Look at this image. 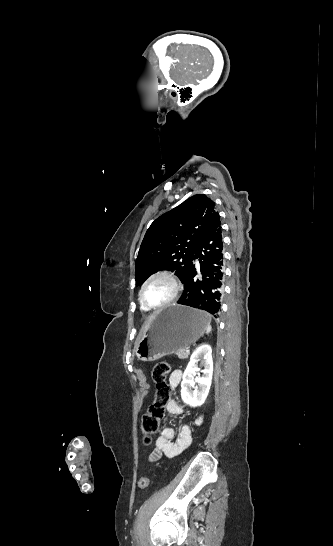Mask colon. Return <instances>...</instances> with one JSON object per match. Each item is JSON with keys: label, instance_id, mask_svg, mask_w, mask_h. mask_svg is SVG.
<instances>
[{"label": "colon", "instance_id": "5ec220e1", "mask_svg": "<svg viewBox=\"0 0 333 546\" xmlns=\"http://www.w3.org/2000/svg\"><path fill=\"white\" fill-rule=\"evenodd\" d=\"M169 371L170 365L165 361L157 363L151 371V378L156 385V396L154 402L142 417L143 441L146 444H149L153 436L160 430L166 405L171 398L172 388L166 380ZM150 483L149 478H142L138 485L140 489L145 490L149 488Z\"/></svg>", "mask_w": 333, "mask_h": 546}]
</instances>
